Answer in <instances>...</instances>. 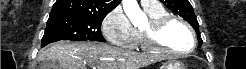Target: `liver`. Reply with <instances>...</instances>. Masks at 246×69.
<instances>
[{"label":"liver","mask_w":246,"mask_h":69,"mask_svg":"<svg viewBox=\"0 0 246 69\" xmlns=\"http://www.w3.org/2000/svg\"><path fill=\"white\" fill-rule=\"evenodd\" d=\"M59 69H140L160 59L157 55L137 53L98 42L58 41L39 55Z\"/></svg>","instance_id":"1"}]
</instances>
